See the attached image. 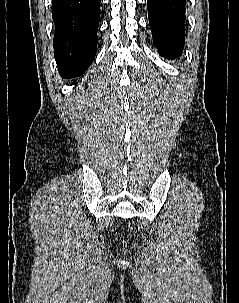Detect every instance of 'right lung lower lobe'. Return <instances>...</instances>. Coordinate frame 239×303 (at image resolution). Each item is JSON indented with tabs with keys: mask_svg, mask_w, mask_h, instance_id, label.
Wrapping results in <instances>:
<instances>
[{
	"mask_svg": "<svg viewBox=\"0 0 239 303\" xmlns=\"http://www.w3.org/2000/svg\"><path fill=\"white\" fill-rule=\"evenodd\" d=\"M100 0H52L54 56L64 78L82 75L97 47Z\"/></svg>",
	"mask_w": 239,
	"mask_h": 303,
	"instance_id": "right-lung-lower-lobe-1",
	"label": "right lung lower lobe"
}]
</instances>
